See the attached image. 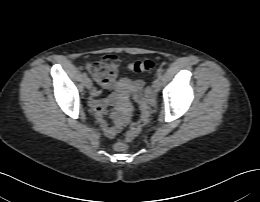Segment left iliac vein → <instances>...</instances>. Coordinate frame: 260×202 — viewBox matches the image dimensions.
<instances>
[{
  "mask_svg": "<svg viewBox=\"0 0 260 202\" xmlns=\"http://www.w3.org/2000/svg\"><path fill=\"white\" fill-rule=\"evenodd\" d=\"M160 86H161V81H160V79H155V80L153 81V84H152V89H153L154 91H158V90L160 89Z\"/></svg>",
  "mask_w": 260,
  "mask_h": 202,
  "instance_id": "obj_1",
  "label": "left iliac vein"
}]
</instances>
